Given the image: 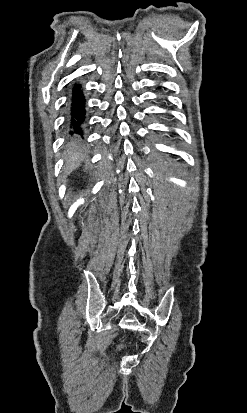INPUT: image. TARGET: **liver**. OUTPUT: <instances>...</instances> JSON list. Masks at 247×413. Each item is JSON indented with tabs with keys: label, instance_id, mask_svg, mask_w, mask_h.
<instances>
[{
	"label": "liver",
	"instance_id": "1",
	"mask_svg": "<svg viewBox=\"0 0 247 413\" xmlns=\"http://www.w3.org/2000/svg\"><path fill=\"white\" fill-rule=\"evenodd\" d=\"M80 160H82L81 152L76 148L75 142H71V146H69L67 150V158L65 162V170L67 174L79 166Z\"/></svg>",
	"mask_w": 247,
	"mask_h": 413
}]
</instances>
